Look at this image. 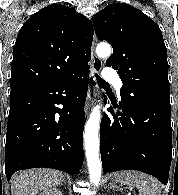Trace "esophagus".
I'll return each mask as SVG.
<instances>
[{"instance_id": "esophagus-1", "label": "esophagus", "mask_w": 178, "mask_h": 195, "mask_svg": "<svg viewBox=\"0 0 178 195\" xmlns=\"http://www.w3.org/2000/svg\"><path fill=\"white\" fill-rule=\"evenodd\" d=\"M97 44V37L94 34L93 38V43H92V48H91V72H90V77L93 78L94 73H98L101 71L102 68V61L101 59L96 55L95 53V47ZM97 96V89L96 86H93L91 90L88 91L87 94V99L85 103V115L87 116L91 107L94 104V100Z\"/></svg>"}]
</instances>
